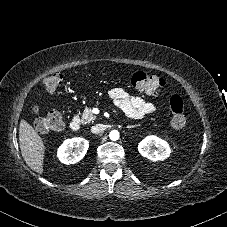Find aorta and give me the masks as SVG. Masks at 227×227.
<instances>
[{"label": "aorta", "instance_id": "obj_1", "mask_svg": "<svg viewBox=\"0 0 227 227\" xmlns=\"http://www.w3.org/2000/svg\"><path fill=\"white\" fill-rule=\"evenodd\" d=\"M119 136H120V134H119V131H117V130H112V131H110V133H109V138H110L111 140H113V141L118 140V139H119Z\"/></svg>", "mask_w": 227, "mask_h": 227}]
</instances>
